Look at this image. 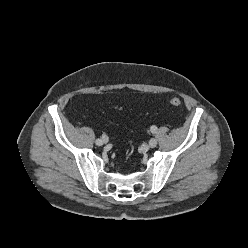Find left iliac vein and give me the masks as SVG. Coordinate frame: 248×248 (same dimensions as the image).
Returning <instances> with one entry per match:
<instances>
[{
	"label": "left iliac vein",
	"instance_id": "1",
	"mask_svg": "<svg viewBox=\"0 0 248 248\" xmlns=\"http://www.w3.org/2000/svg\"><path fill=\"white\" fill-rule=\"evenodd\" d=\"M149 146H150L151 148L156 147V146H157V139L151 138V139L149 140Z\"/></svg>",
	"mask_w": 248,
	"mask_h": 248
}]
</instances>
